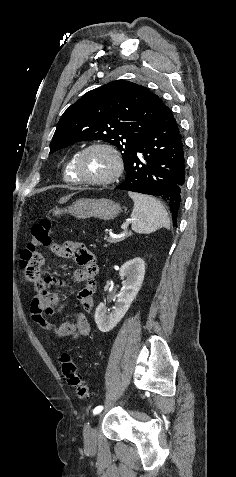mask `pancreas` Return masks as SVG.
Wrapping results in <instances>:
<instances>
[{
    "instance_id": "1",
    "label": "pancreas",
    "mask_w": 236,
    "mask_h": 477,
    "mask_svg": "<svg viewBox=\"0 0 236 477\" xmlns=\"http://www.w3.org/2000/svg\"><path fill=\"white\" fill-rule=\"evenodd\" d=\"M130 235H131V232L120 234L118 236H107V235H105L104 240H105V242H107L110 245L112 243H118L120 241H123L124 239H126ZM105 247H107V244H105Z\"/></svg>"
}]
</instances>
